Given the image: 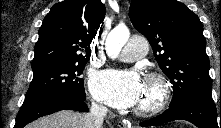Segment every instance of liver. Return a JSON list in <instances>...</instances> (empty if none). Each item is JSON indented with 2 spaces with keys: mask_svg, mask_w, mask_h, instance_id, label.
<instances>
[{
  "mask_svg": "<svg viewBox=\"0 0 221 128\" xmlns=\"http://www.w3.org/2000/svg\"><path fill=\"white\" fill-rule=\"evenodd\" d=\"M85 115L71 110L58 111L42 117L26 128H86Z\"/></svg>",
  "mask_w": 221,
  "mask_h": 128,
  "instance_id": "obj_1",
  "label": "liver"
}]
</instances>
